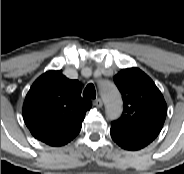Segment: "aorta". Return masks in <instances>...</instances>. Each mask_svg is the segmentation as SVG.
Wrapping results in <instances>:
<instances>
[{"label":"aorta","instance_id":"aorta-1","mask_svg":"<svg viewBox=\"0 0 184 174\" xmlns=\"http://www.w3.org/2000/svg\"><path fill=\"white\" fill-rule=\"evenodd\" d=\"M100 92L105 103L106 115L110 120L118 118L122 112V99L116 86L110 81H104Z\"/></svg>","mask_w":184,"mask_h":174}]
</instances>
